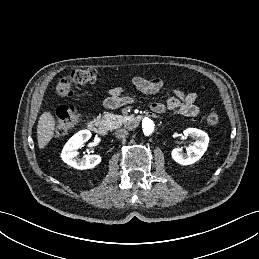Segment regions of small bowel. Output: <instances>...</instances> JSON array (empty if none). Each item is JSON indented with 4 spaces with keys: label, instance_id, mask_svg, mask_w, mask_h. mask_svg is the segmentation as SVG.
Here are the masks:
<instances>
[{
    "label": "small bowel",
    "instance_id": "small-bowel-1",
    "mask_svg": "<svg viewBox=\"0 0 259 259\" xmlns=\"http://www.w3.org/2000/svg\"><path fill=\"white\" fill-rule=\"evenodd\" d=\"M132 83L138 91L144 94H156L164 86V82L160 78L147 79L143 76H135ZM196 100V93H185L180 89H174L173 94L165 102L155 101L151 103L150 109L156 114H162L166 110H178L183 116L193 117L199 112ZM132 102L133 98L125 94L124 88L115 87L110 90L103 105L107 109H115Z\"/></svg>",
    "mask_w": 259,
    "mask_h": 259
}]
</instances>
